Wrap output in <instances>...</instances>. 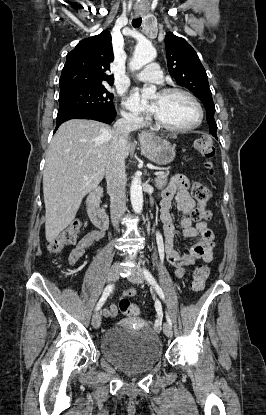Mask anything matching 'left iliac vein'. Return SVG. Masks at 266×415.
Wrapping results in <instances>:
<instances>
[{
	"label": "left iliac vein",
	"mask_w": 266,
	"mask_h": 415,
	"mask_svg": "<svg viewBox=\"0 0 266 415\" xmlns=\"http://www.w3.org/2000/svg\"><path fill=\"white\" fill-rule=\"evenodd\" d=\"M129 281L135 284H141L144 281V274L142 270L137 267L133 273H131L128 277ZM163 332L167 337H172L173 331L172 327L168 322L163 324Z\"/></svg>",
	"instance_id": "4c4485c4"
}]
</instances>
